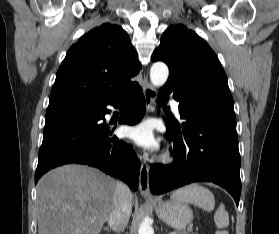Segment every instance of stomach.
Segmentation results:
<instances>
[{"label": "stomach", "mask_w": 279, "mask_h": 234, "mask_svg": "<svg viewBox=\"0 0 279 234\" xmlns=\"http://www.w3.org/2000/svg\"><path fill=\"white\" fill-rule=\"evenodd\" d=\"M155 211L163 222L177 230L184 229L193 218V212L189 206L176 200L158 202L155 205Z\"/></svg>", "instance_id": "0dacf381"}]
</instances>
